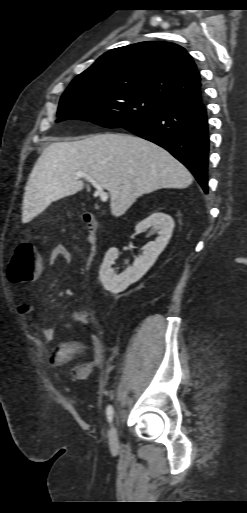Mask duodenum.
Wrapping results in <instances>:
<instances>
[{
	"label": "duodenum",
	"instance_id": "obj_1",
	"mask_svg": "<svg viewBox=\"0 0 247 513\" xmlns=\"http://www.w3.org/2000/svg\"><path fill=\"white\" fill-rule=\"evenodd\" d=\"M82 221L87 228V242L89 245V258L94 261L97 255V228L98 223L94 214L85 212Z\"/></svg>",
	"mask_w": 247,
	"mask_h": 513
}]
</instances>
